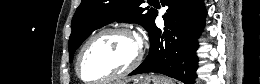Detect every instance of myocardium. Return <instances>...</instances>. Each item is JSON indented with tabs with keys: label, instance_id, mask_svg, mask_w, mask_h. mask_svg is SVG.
<instances>
[{
	"label": "myocardium",
	"instance_id": "1",
	"mask_svg": "<svg viewBox=\"0 0 260 84\" xmlns=\"http://www.w3.org/2000/svg\"><path fill=\"white\" fill-rule=\"evenodd\" d=\"M105 33H121V34H125L127 36H130L132 39H134L137 43H138V51H137V55L135 57V59L132 61V63L126 67L123 71L113 74L111 76L99 79V80H87L83 77L82 73H81V65H82V60L83 57L87 51V49L89 48L90 44L99 36L105 34ZM144 58V49L143 46L140 42V40L138 39L136 33L125 26H120V25H114V26H109V27H105L102 28L100 30H98L97 32H95L93 35H91L86 42L84 43V45L82 46L78 56H77V62H76V72L78 77L86 82V83H94V84H102V83H107L119 78H122L128 74H130L132 71H134L143 61Z\"/></svg>",
	"mask_w": 260,
	"mask_h": 84
}]
</instances>
